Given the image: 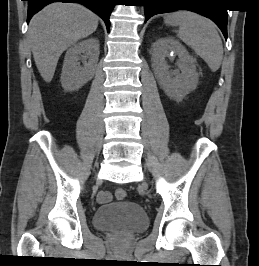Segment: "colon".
I'll list each match as a JSON object with an SVG mask.
<instances>
[{
	"label": "colon",
	"mask_w": 259,
	"mask_h": 266,
	"mask_svg": "<svg viewBox=\"0 0 259 266\" xmlns=\"http://www.w3.org/2000/svg\"><path fill=\"white\" fill-rule=\"evenodd\" d=\"M126 191L122 188H119L115 191V197L117 200H124L126 198Z\"/></svg>",
	"instance_id": "1"
}]
</instances>
